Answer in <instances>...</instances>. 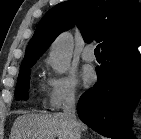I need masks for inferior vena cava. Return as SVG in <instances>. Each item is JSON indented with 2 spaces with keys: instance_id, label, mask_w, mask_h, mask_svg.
Segmentation results:
<instances>
[{
  "instance_id": "inferior-vena-cava-1",
  "label": "inferior vena cava",
  "mask_w": 141,
  "mask_h": 139,
  "mask_svg": "<svg viewBox=\"0 0 141 139\" xmlns=\"http://www.w3.org/2000/svg\"><path fill=\"white\" fill-rule=\"evenodd\" d=\"M63 115L67 118L72 131V139H80V124L76 118L75 95L69 93L63 103Z\"/></svg>"
}]
</instances>
